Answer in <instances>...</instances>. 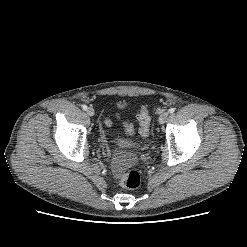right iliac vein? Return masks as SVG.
Wrapping results in <instances>:
<instances>
[{"label":"right iliac vein","instance_id":"obj_1","mask_svg":"<svg viewBox=\"0 0 247 247\" xmlns=\"http://www.w3.org/2000/svg\"><path fill=\"white\" fill-rule=\"evenodd\" d=\"M86 113L88 116H94L95 111L92 107L87 108Z\"/></svg>","mask_w":247,"mask_h":247}]
</instances>
